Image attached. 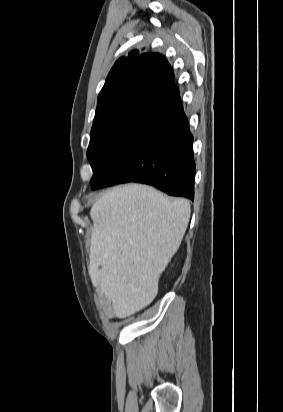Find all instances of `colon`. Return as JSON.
<instances>
[{"label":"colon","instance_id":"obj_1","mask_svg":"<svg viewBox=\"0 0 283 412\" xmlns=\"http://www.w3.org/2000/svg\"><path fill=\"white\" fill-rule=\"evenodd\" d=\"M112 312H113L114 314L117 313L116 307H113V308H112Z\"/></svg>","mask_w":283,"mask_h":412}]
</instances>
